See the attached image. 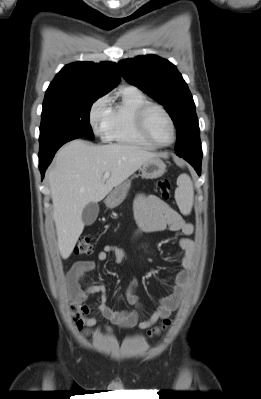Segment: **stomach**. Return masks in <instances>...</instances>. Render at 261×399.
<instances>
[{"instance_id":"obj_1","label":"stomach","mask_w":261,"mask_h":399,"mask_svg":"<svg viewBox=\"0 0 261 399\" xmlns=\"http://www.w3.org/2000/svg\"><path fill=\"white\" fill-rule=\"evenodd\" d=\"M142 177L145 179H156L161 177L166 171V165L159 157H154L146 161L140 168ZM131 181L126 180L116 186L105 199L108 208L119 206L127 196L130 189Z\"/></svg>"}]
</instances>
